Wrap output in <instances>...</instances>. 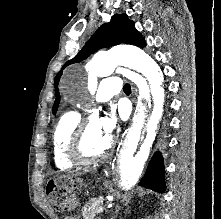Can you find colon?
<instances>
[{"label": "colon", "mask_w": 221, "mask_h": 219, "mask_svg": "<svg viewBox=\"0 0 221 219\" xmlns=\"http://www.w3.org/2000/svg\"><path fill=\"white\" fill-rule=\"evenodd\" d=\"M48 193L53 201H56L58 196L64 191V187L60 182H51L48 185ZM64 210H70L69 206H65Z\"/></svg>", "instance_id": "obj_1"}]
</instances>
